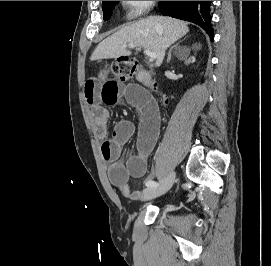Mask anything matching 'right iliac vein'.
<instances>
[{"label":"right iliac vein","mask_w":271,"mask_h":266,"mask_svg":"<svg viewBox=\"0 0 271 266\" xmlns=\"http://www.w3.org/2000/svg\"><path fill=\"white\" fill-rule=\"evenodd\" d=\"M175 180V173L172 172L164 180V182L156 187H150L143 190L144 198L146 200L153 199L165 194L173 185Z\"/></svg>","instance_id":"obj_1"}]
</instances>
